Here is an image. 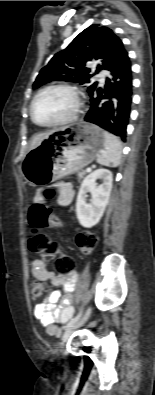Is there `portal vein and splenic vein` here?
Returning a JSON list of instances; mask_svg holds the SVG:
<instances>
[{
    "label": "portal vein and splenic vein",
    "mask_w": 155,
    "mask_h": 395,
    "mask_svg": "<svg viewBox=\"0 0 155 395\" xmlns=\"http://www.w3.org/2000/svg\"><path fill=\"white\" fill-rule=\"evenodd\" d=\"M91 171V168H86V172H90Z\"/></svg>",
    "instance_id": "18ae733b"
}]
</instances>
